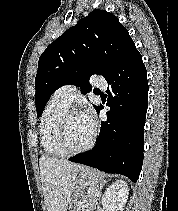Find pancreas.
Listing matches in <instances>:
<instances>
[{"label": "pancreas", "mask_w": 178, "mask_h": 211, "mask_svg": "<svg viewBox=\"0 0 178 211\" xmlns=\"http://www.w3.org/2000/svg\"><path fill=\"white\" fill-rule=\"evenodd\" d=\"M96 191V189H90L84 192L75 203L74 211H91L97 204L98 199L95 196Z\"/></svg>", "instance_id": "1"}]
</instances>
